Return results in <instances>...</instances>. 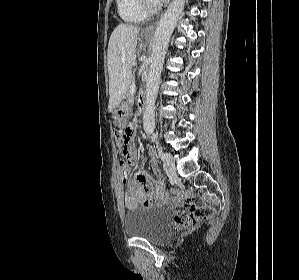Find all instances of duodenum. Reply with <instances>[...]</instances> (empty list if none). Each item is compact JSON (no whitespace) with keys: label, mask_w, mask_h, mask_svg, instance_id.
Segmentation results:
<instances>
[{"label":"duodenum","mask_w":299,"mask_h":280,"mask_svg":"<svg viewBox=\"0 0 299 280\" xmlns=\"http://www.w3.org/2000/svg\"><path fill=\"white\" fill-rule=\"evenodd\" d=\"M139 104H140L141 109L145 110L146 102H145L144 96H142V95L139 97Z\"/></svg>","instance_id":"1"}]
</instances>
